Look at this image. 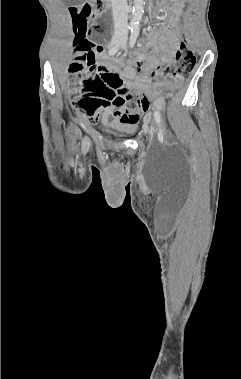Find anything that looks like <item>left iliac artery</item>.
<instances>
[{
    "mask_svg": "<svg viewBox=\"0 0 241 379\" xmlns=\"http://www.w3.org/2000/svg\"><path fill=\"white\" fill-rule=\"evenodd\" d=\"M138 35H139V29L138 28H134L131 30V36H130V42H129L130 47H133L135 45V42L137 40ZM154 119L159 126L158 139H159V141L163 142V130L161 127V115L158 111L154 112Z\"/></svg>",
    "mask_w": 241,
    "mask_h": 379,
    "instance_id": "obj_1",
    "label": "left iliac artery"
}]
</instances>
